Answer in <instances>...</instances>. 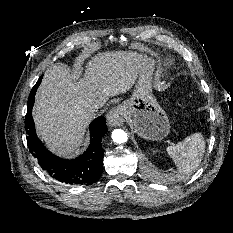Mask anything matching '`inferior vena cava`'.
Masks as SVG:
<instances>
[{
	"label": "inferior vena cava",
	"instance_id": "1",
	"mask_svg": "<svg viewBox=\"0 0 233 233\" xmlns=\"http://www.w3.org/2000/svg\"><path fill=\"white\" fill-rule=\"evenodd\" d=\"M101 107H102L101 104H95V105L93 106V111H94V112H98L99 109H100Z\"/></svg>",
	"mask_w": 233,
	"mask_h": 233
}]
</instances>
